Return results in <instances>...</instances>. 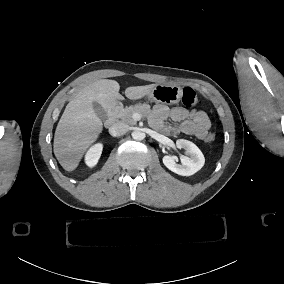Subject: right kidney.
<instances>
[{"mask_svg": "<svg viewBox=\"0 0 284 284\" xmlns=\"http://www.w3.org/2000/svg\"><path fill=\"white\" fill-rule=\"evenodd\" d=\"M103 145L101 143H97L90 147L85 155V163L88 167H94L102 153Z\"/></svg>", "mask_w": 284, "mask_h": 284, "instance_id": "1", "label": "right kidney"}]
</instances>
